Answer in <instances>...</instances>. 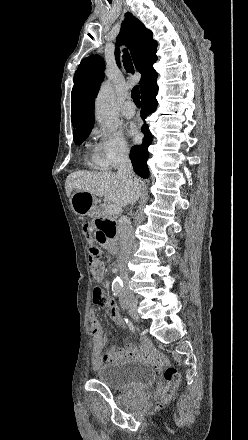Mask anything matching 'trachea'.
Here are the masks:
<instances>
[{
    "label": "trachea",
    "instance_id": "1",
    "mask_svg": "<svg viewBox=\"0 0 248 440\" xmlns=\"http://www.w3.org/2000/svg\"><path fill=\"white\" fill-rule=\"evenodd\" d=\"M123 63H124V67H125L127 72H129V73H133L134 72V68H133L131 57L126 52V50H124ZM131 96H132V99H133L134 103L136 104V106H140L139 86H135L132 89Z\"/></svg>",
    "mask_w": 248,
    "mask_h": 440
}]
</instances>
